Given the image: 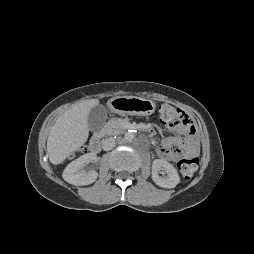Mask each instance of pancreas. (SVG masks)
Returning <instances> with one entry per match:
<instances>
[{"label": "pancreas", "instance_id": "1", "mask_svg": "<svg viewBox=\"0 0 254 254\" xmlns=\"http://www.w3.org/2000/svg\"><path fill=\"white\" fill-rule=\"evenodd\" d=\"M111 133H117L122 131V125L119 120L113 119L107 123Z\"/></svg>", "mask_w": 254, "mask_h": 254}]
</instances>
